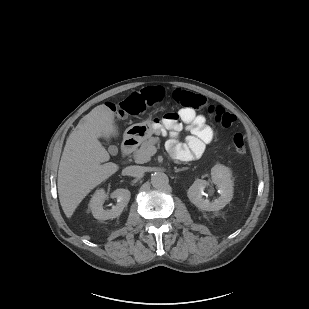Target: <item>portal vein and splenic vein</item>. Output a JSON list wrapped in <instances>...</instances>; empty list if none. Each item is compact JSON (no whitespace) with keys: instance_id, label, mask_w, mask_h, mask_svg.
Wrapping results in <instances>:
<instances>
[{"instance_id":"obj_1","label":"portal vein and splenic vein","mask_w":309,"mask_h":309,"mask_svg":"<svg viewBox=\"0 0 309 309\" xmlns=\"http://www.w3.org/2000/svg\"><path fill=\"white\" fill-rule=\"evenodd\" d=\"M156 147H152V148H150L149 149V154H150V156H153L155 153H156Z\"/></svg>"}]
</instances>
